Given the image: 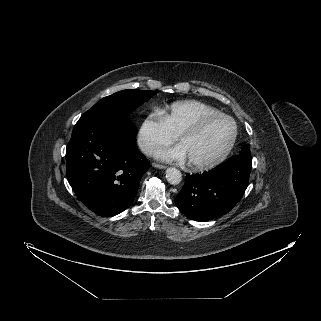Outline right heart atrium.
Wrapping results in <instances>:
<instances>
[{
    "label": "right heart atrium",
    "instance_id": "right-heart-atrium-1",
    "mask_svg": "<svg viewBox=\"0 0 321 321\" xmlns=\"http://www.w3.org/2000/svg\"><path fill=\"white\" fill-rule=\"evenodd\" d=\"M174 140L175 135L166 128L159 112L150 113L139 127L138 143L146 154H152L157 149L171 144Z\"/></svg>",
    "mask_w": 321,
    "mask_h": 321
}]
</instances>
